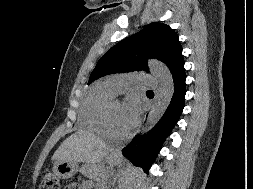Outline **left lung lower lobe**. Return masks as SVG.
<instances>
[{
  "label": "left lung lower lobe",
  "mask_w": 253,
  "mask_h": 189,
  "mask_svg": "<svg viewBox=\"0 0 253 189\" xmlns=\"http://www.w3.org/2000/svg\"><path fill=\"white\" fill-rule=\"evenodd\" d=\"M173 78L175 83L174 94L163 117L147 136L140 141V146L135 153H133V150L137 141L136 138L122 150L124 156L131 159L134 165L142 167L146 173H148L156 158L163 141L170 134L183 111L186 93L184 62L175 69Z\"/></svg>",
  "instance_id": "1"
}]
</instances>
